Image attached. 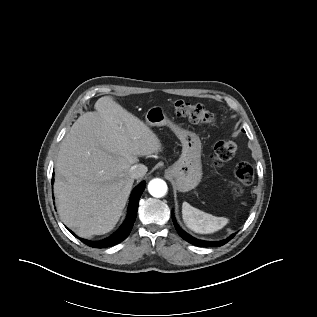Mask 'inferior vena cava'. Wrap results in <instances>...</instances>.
<instances>
[{
	"label": "inferior vena cava",
	"mask_w": 317,
	"mask_h": 317,
	"mask_svg": "<svg viewBox=\"0 0 317 317\" xmlns=\"http://www.w3.org/2000/svg\"><path fill=\"white\" fill-rule=\"evenodd\" d=\"M147 172V167L143 164H136L129 170V176L133 179L142 178Z\"/></svg>",
	"instance_id": "inferior-vena-cava-1"
}]
</instances>
